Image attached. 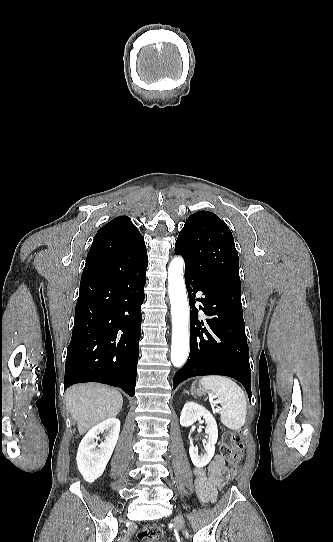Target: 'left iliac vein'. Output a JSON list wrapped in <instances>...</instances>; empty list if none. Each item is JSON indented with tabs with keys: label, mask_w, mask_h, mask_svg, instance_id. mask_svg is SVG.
I'll return each instance as SVG.
<instances>
[{
	"label": "left iliac vein",
	"mask_w": 333,
	"mask_h": 542,
	"mask_svg": "<svg viewBox=\"0 0 333 542\" xmlns=\"http://www.w3.org/2000/svg\"><path fill=\"white\" fill-rule=\"evenodd\" d=\"M175 523L177 524L178 528L182 530L183 534H186V531L184 529V520H183V517L181 515H178L175 518Z\"/></svg>",
	"instance_id": "1"
}]
</instances>
